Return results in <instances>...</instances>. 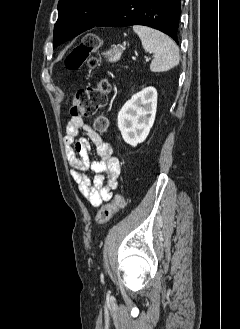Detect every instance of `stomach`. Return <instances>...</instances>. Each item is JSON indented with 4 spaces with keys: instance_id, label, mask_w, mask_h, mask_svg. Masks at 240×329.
Returning <instances> with one entry per match:
<instances>
[{
    "instance_id": "stomach-1",
    "label": "stomach",
    "mask_w": 240,
    "mask_h": 329,
    "mask_svg": "<svg viewBox=\"0 0 240 329\" xmlns=\"http://www.w3.org/2000/svg\"><path fill=\"white\" fill-rule=\"evenodd\" d=\"M103 55L108 58V60L110 62H115L118 61L122 55V50L117 48V47H113L112 49L106 51L105 53H103Z\"/></svg>"
}]
</instances>
